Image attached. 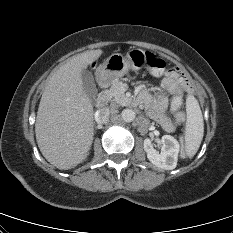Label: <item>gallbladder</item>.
<instances>
[{
  "mask_svg": "<svg viewBox=\"0 0 233 233\" xmlns=\"http://www.w3.org/2000/svg\"><path fill=\"white\" fill-rule=\"evenodd\" d=\"M81 78L85 93L87 94L91 102H94L96 100L98 90L96 88L93 74L89 70L84 69L81 73Z\"/></svg>",
  "mask_w": 233,
  "mask_h": 233,
  "instance_id": "obj_1",
  "label": "gallbladder"
}]
</instances>
